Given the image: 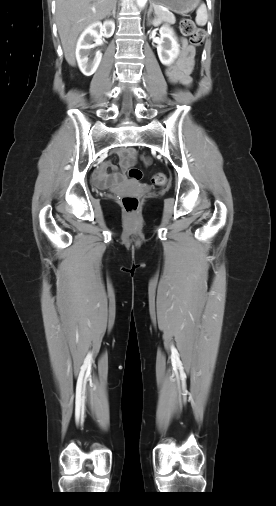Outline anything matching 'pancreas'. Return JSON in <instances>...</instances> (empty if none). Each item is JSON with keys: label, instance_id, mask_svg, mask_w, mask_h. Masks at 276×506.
<instances>
[{"label": "pancreas", "instance_id": "pancreas-1", "mask_svg": "<svg viewBox=\"0 0 276 506\" xmlns=\"http://www.w3.org/2000/svg\"><path fill=\"white\" fill-rule=\"evenodd\" d=\"M155 13L160 21H164L168 24H174L176 21L175 16L171 12L165 11L160 7L155 9Z\"/></svg>", "mask_w": 276, "mask_h": 506}]
</instances>
